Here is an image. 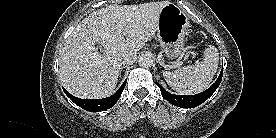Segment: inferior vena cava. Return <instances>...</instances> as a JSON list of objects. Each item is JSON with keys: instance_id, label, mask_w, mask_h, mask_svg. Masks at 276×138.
Here are the masks:
<instances>
[{"instance_id": "602c4592", "label": "inferior vena cava", "mask_w": 276, "mask_h": 138, "mask_svg": "<svg viewBox=\"0 0 276 138\" xmlns=\"http://www.w3.org/2000/svg\"><path fill=\"white\" fill-rule=\"evenodd\" d=\"M136 56V52H125L121 55L120 61L122 64L131 65L135 62Z\"/></svg>"}]
</instances>
